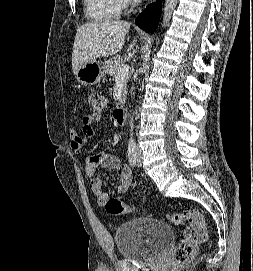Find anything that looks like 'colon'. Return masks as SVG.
I'll return each mask as SVG.
<instances>
[{
  "label": "colon",
  "mask_w": 253,
  "mask_h": 271,
  "mask_svg": "<svg viewBox=\"0 0 253 271\" xmlns=\"http://www.w3.org/2000/svg\"><path fill=\"white\" fill-rule=\"evenodd\" d=\"M93 113H100L106 106V99L98 93L89 95ZM103 206L112 215L130 213L132 207L117 198H109ZM167 219L175 225L187 223L183 238L175 247L173 257L179 263H186L195 253L196 248L207 240L208 231L202 212L195 209H185L167 215Z\"/></svg>",
  "instance_id": "5ec220e1"
}]
</instances>
